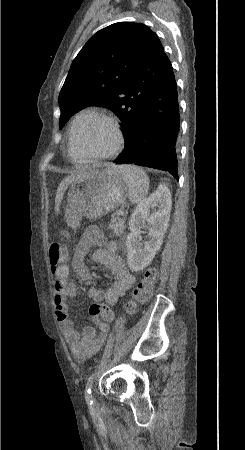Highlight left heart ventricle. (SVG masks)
<instances>
[{"mask_svg":"<svg viewBox=\"0 0 245 450\" xmlns=\"http://www.w3.org/2000/svg\"><path fill=\"white\" fill-rule=\"evenodd\" d=\"M115 142V133L105 122L83 123L76 131V148L88 156L109 153L115 146Z\"/></svg>","mask_w":245,"mask_h":450,"instance_id":"obj_1","label":"left heart ventricle"}]
</instances>
